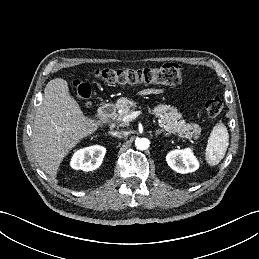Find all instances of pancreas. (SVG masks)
Masks as SVG:
<instances>
[{"instance_id": "cf45deb5", "label": "pancreas", "mask_w": 259, "mask_h": 259, "mask_svg": "<svg viewBox=\"0 0 259 259\" xmlns=\"http://www.w3.org/2000/svg\"><path fill=\"white\" fill-rule=\"evenodd\" d=\"M136 103L128 98H120L115 107L120 110L119 113L114 114V119L121 122V126H126L127 123L122 119L126 115L133 112ZM152 113L159 117V125L165 131L176 134L182 138L198 139L201 134V128L195 123H186L182 119V114L178 112L177 108L167 104H159L152 109Z\"/></svg>"}]
</instances>
